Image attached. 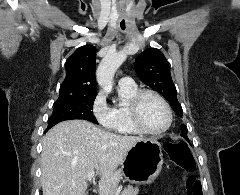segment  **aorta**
Here are the masks:
<instances>
[{
	"instance_id": "aorta-1",
	"label": "aorta",
	"mask_w": 240,
	"mask_h": 195,
	"mask_svg": "<svg viewBox=\"0 0 240 195\" xmlns=\"http://www.w3.org/2000/svg\"><path fill=\"white\" fill-rule=\"evenodd\" d=\"M126 58L127 56L123 54V52H119V54H112V52H109L105 58H102L97 68L96 80L98 86H100L104 92H107V94L112 92L113 78Z\"/></svg>"
}]
</instances>
